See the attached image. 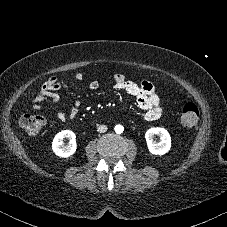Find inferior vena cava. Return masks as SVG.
<instances>
[{"mask_svg": "<svg viewBox=\"0 0 227 227\" xmlns=\"http://www.w3.org/2000/svg\"><path fill=\"white\" fill-rule=\"evenodd\" d=\"M97 131L100 133H104L107 131V126L106 125H99L97 128Z\"/></svg>", "mask_w": 227, "mask_h": 227, "instance_id": "obj_1", "label": "inferior vena cava"}]
</instances>
